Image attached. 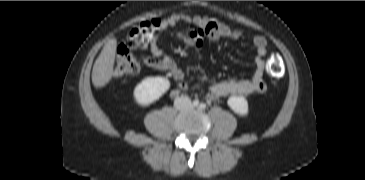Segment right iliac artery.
Masks as SVG:
<instances>
[{"label":"right iliac artery","mask_w":365,"mask_h":180,"mask_svg":"<svg viewBox=\"0 0 365 180\" xmlns=\"http://www.w3.org/2000/svg\"><path fill=\"white\" fill-rule=\"evenodd\" d=\"M199 105V101L198 100H194L193 101V106L197 107Z\"/></svg>","instance_id":"82829eb1"}]
</instances>
